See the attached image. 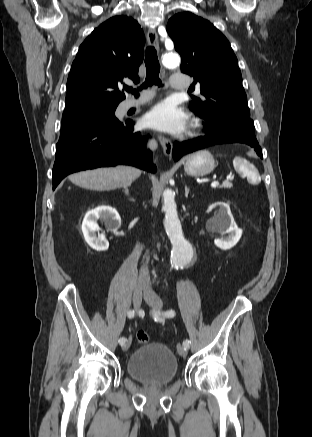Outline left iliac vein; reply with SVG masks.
<instances>
[{
	"mask_svg": "<svg viewBox=\"0 0 312 437\" xmlns=\"http://www.w3.org/2000/svg\"><path fill=\"white\" fill-rule=\"evenodd\" d=\"M144 299L145 301L155 310H160L162 307V302L157 294H155L150 289H146L144 291ZM177 351L180 356L185 357L187 355V348L183 345L179 344L177 346Z\"/></svg>",
	"mask_w": 312,
	"mask_h": 437,
	"instance_id": "4c4485c4",
	"label": "left iliac vein"
}]
</instances>
